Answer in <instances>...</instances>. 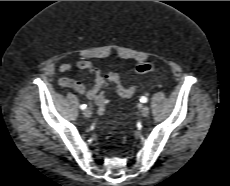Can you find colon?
Masks as SVG:
<instances>
[{"label": "colon", "mask_w": 230, "mask_h": 186, "mask_svg": "<svg viewBox=\"0 0 230 186\" xmlns=\"http://www.w3.org/2000/svg\"><path fill=\"white\" fill-rule=\"evenodd\" d=\"M155 70V65L152 63H141L138 64L135 68V71L137 74L144 75L149 72H152ZM107 78L111 82H116L118 80V76L115 73H109L107 75ZM125 94H133L135 92V87H129L123 91ZM97 108L98 112L100 114H103L105 112V107H106V99L105 98H99L97 100Z\"/></svg>", "instance_id": "obj_1"}]
</instances>
